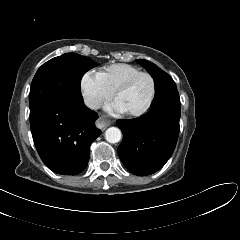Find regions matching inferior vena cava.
Returning a JSON list of instances; mask_svg holds the SVG:
<instances>
[{"instance_id":"inferior-vena-cava-1","label":"inferior vena cava","mask_w":240,"mask_h":240,"mask_svg":"<svg viewBox=\"0 0 240 240\" xmlns=\"http://www.w3.org/2000/svg\"><path fill=\"white\" fill-rule=\"evenodd\" d=\"M85 105L90 109H99L101 101L97 98L87 97L85 98Z\"/></svg>"}]
</instances>
